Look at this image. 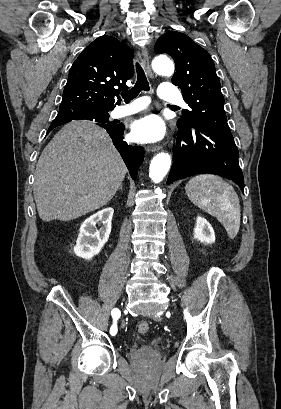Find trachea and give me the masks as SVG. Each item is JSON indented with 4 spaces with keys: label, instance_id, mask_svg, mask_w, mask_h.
Here are the masks:
<instances>
[{
    "label": "trachea",
    "instance_id": "3493384b",
    "mask_svg": "<svg viewBox=\"0 0 281 409\" xmlns=\"http://www.w3.org/2000/svg\"><path fill=\"white\" fill-rule=\"evenodd\" d=\"M136 72H137V81L134 87L130 88V90H126V92H122L121 96L126 103L131 102L134 98H136L142 90L148 91L150 90L148 80L144 73L143 68L137 62L136 63Z\"/></svg>",
    "mask_w": 281,
    "mask_h": 409
}]
</instances>
